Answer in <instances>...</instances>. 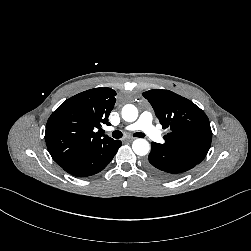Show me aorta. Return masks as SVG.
<instances>
[{
  "instance_id": "aorta-1",
  "label": "aorta",
  "mask_w": 251,
  "mask_h": 251,
  "mask_svg": "<svg viewBox=\"0 0 251 251\" xmlns=\"http://www.w3.org/2000/svg\"><path fill=\"white\" fill-rule=\"evenodd\" d=\"M122 118L127 122H134L138 118V110L132 104H127L122 108ZM132 149L139 156L146 155L150 150V144L146 139L139 138L133 141Z\"/></svg>"
}]
</instances>
